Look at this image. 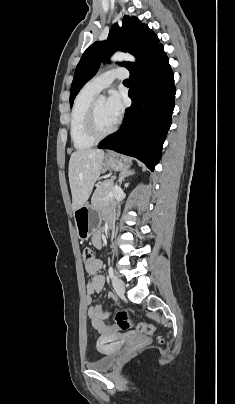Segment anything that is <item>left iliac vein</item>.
<instances>
[{
    "mask_svg": "<svg viewBox=\"0 0 235 404\" xmlns=\"http://www.w3.org/2000/svg\"><path fill=\"white\" fill-rule=\"evenodd\" d=\"M112 285H113L115 292L119 296H123L124 291H125L124 282L119 277H113Z\"/></svg>",
    "mask_w": 235,
    "mask_h": 404,
    "instance_id": "1",
    "label": "left iliac vein"
}]
</instances>
